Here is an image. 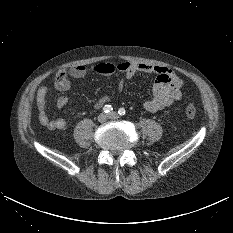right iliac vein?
<instances>
[{
    "label": "right iliac vein",
    "mask_w": 233,
    "mask_h": 233,
    "mask_svg": "<svg viewBox=\"0 0 233 233\" xmlns=\"http://www.w3.org/2000/svg\"><path fill=\"white\" fill-rule=\"evenodd\" d=\"M107 119H108V115L105 114V113H101V114L98 116V121L101 122V123L105 122Z\"/></svg>",
    "instance_id": "1"
}]
</instances>
